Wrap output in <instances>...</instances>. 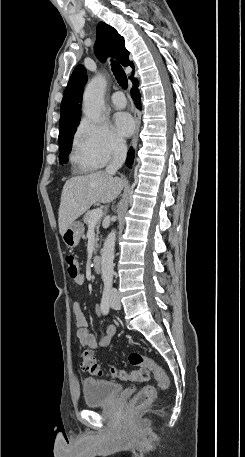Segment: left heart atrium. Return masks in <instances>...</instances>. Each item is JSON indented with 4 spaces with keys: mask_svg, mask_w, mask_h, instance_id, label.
I'll return each mask as SVG.
<instances>
[{
    "mask_svg": "<svg viewBox=\"0 0 245 457\" xmlns=\"http://www.w3.org/2000/svg\"><path fill=\"white\" fill-rule=\"evenodd\" d=\"M115 128L121 136H130L134 130V121L127 113H118L114 117Z\"/></svg>",
    "mask_w": 245,
    "mask_h": 457,
    "instance_id": "39dd6f15",
    "label": "left heart atrium"
}]
</instances>
